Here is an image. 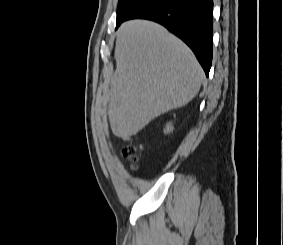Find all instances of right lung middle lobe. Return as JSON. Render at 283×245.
<instances>
[{
    "label": "right lung middle lobe",
    "mask_w": 283,
    "mask_h": 245,
    "mask_svg": "<svg viewBox=\"0 0 283 245\" xmlns=\"http://www.w3.org/2000/svg\"><path fill=\"white\" fill-rule=\"evenodd\" d=\"M148 0H119L116 25L123 22L132 12Z\"/></svg>",
    "instance_id": "dd1d6c3e"
}]
</instances>
